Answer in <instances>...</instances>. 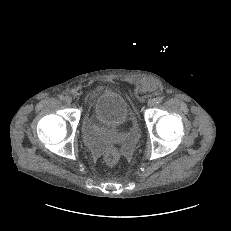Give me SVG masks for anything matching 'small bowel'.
I'll list each match as a JSON object with an SVG mask.
<instances>
[{"label":"small bowel","instance_id":"c3829d8e","mask_svg":"<svg viewBox=\"0 0 231 231\" xmlns=\"http://www.w3.org/2000/svg\"><path fill=\"white\" fill-rule=\"evenodd\" d=\"M84 132L87 141L93 147V149H95L96 151L99 150V143L96 138L97 129L95 125L90 121H86Z\"/></svg>","mask_w":231,"mask_h":231}]
</instances>
